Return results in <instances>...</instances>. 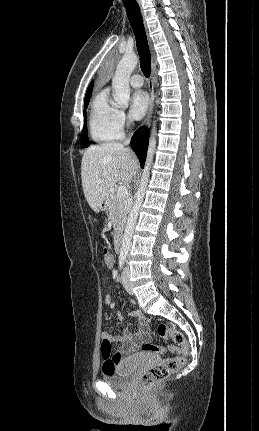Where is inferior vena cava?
Here are the masks:
<instances>
[{
  "mask_svg": "<svg viewBox=\"0 0 259 431\" xmlns=\"http://www.w3.org/2000/svg\"><path fill=\"white\" fill-rule=\"evenodd\" d=\"M130 143V137L124 141V145H128Z\"/></svg>",
  "mask_w": 259,
  "mask_h": 431,
  "instance_id": "1",
  "label": "inferior vena cava"
}]
</instances>
